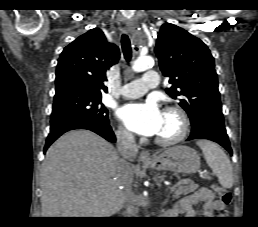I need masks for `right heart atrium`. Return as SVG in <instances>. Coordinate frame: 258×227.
I'll use <instances>...</instances> for the list:
<instances>
[{
    "mask_svg": "<svg viewBox=\"0 0 258 227\" xmlns=\"http://www.w3.org/2000/svg\"><path fill=\"white\" fill-rule=\"evenodd\" d=\"M117 138L123 143H131L134 140L132 133L124 127H120L117 130Z\"/></svg>",
    "mask_w": 258,
    "mask_h": 227,
    "instance_id": "1",
    "label": "right heart atrium"
}]
</instances>
